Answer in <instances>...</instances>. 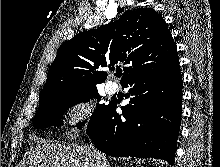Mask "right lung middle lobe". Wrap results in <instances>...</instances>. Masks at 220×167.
<instances>
[{"instance_id": "dd1d6c3e", "label": "right lung middle lobe", "mask_w": 220, "mask_h": 167, "mask_svg": "<svg viewBox=\"0 0 220 167\" xmlns=\"http://www.w3.org/2000/svg\"><path fill=\"white\" fill-rule=\"evenodd\" d=\"M93 97L97 98L98 101L100 100L96 86L60 91L40 101L33 121V127L43 129L50 125L60 126L62 125V115L66 110L77 103L88 101ZM105 107L104 104H98L96 106V110L92 114L87 128L94 123L99 113ZM81 125L82 123L78 124L77 127L81 128Z\"/></svg>"}]
</instances>
